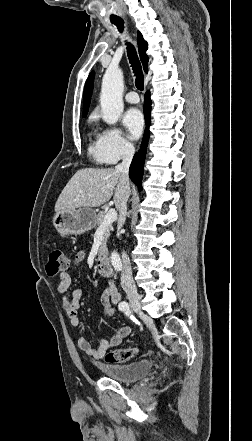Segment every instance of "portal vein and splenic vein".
<instances>
[{
  "label": "portal vein and splenic vein",
  "mask_w": 252,
  "mask_h": 441,
  "mask_svg": "<svg viewBox=\"0 0 252 441\" xmlns=\"http://www.w3.org/2000/svg\"><path fill=\"white\" fill-rule=\"evenodd\" d=\"M117 219V212L115 209H110L104 217L100 227H105L112 224Z\"/></svg>",
  "instance_id": "obj_1"
}]
</instances>
